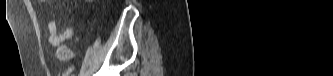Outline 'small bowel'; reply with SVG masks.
Returning <instances> with one entry per match:
<instances>
[{"instance_id": "small-bowel-1", "label": "small bowel", "mask_w": 333, "mask_h": 76, "mask_svg": "<svg viewBox=\"0 0 333 76\" xmlns=\"http://www.w3.org/2000/svg\"><path fill=\"white\" fill-rule=\"evenodd\" d=\"M48 30L49 43L52 46H59L74 36V29L72 27H66L62 30H59L55 20H50L48 24Z\"/></svg>"}]
</instances>
